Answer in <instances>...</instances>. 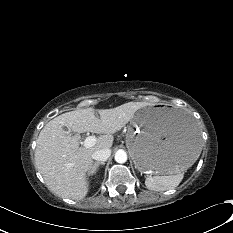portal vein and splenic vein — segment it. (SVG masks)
<instances>
[{
	"instance_id": "obj_1",
	"label": "portal vein and splenic vein",
	"mask_w": 233,
	"mask_h": 233,
	"mask_svg": "<svg viewBox=\"0 0 233 233\" xmlns=\"http://www.w3.org/2000/svg\"><path fill=\"white\" fill-rule=\"evenodd\" d=\"M96 137L95 136H89L84 140V147L89 148L96 144Z\"/></svg>"
}]
</instances>
